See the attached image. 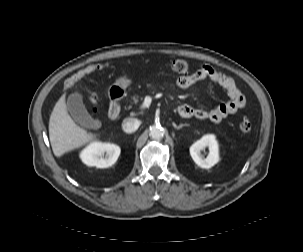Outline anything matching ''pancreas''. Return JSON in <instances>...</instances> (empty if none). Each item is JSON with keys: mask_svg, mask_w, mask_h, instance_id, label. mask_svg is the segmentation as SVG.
I'll return each instance as SVG.
<instances>
[{"mask_svg": "<svg viewBox=\"0 0 303 252\" xmlns=\"http://www.w3.org/2000/svg\"><path fill=\"white\" fill-rule=\"evenodd\" d=\"M140 99H142V98H140ZM139 102V96H134L133 97V103L134 104H137ZM131 107V106H130Z\"/></svg>", "mask_w": 303, "mask_h": 252, "instance_id": "obj_1", "label": "pancreas"}]
</instances>
